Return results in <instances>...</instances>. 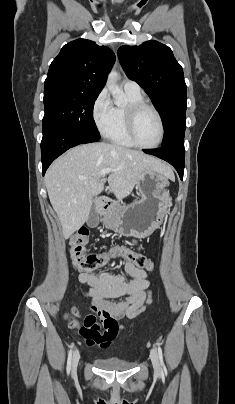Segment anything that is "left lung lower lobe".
I'll return each instance as SVG.
<instances>
[{
	"label": "left lung lower lobe",
	"instance_id": "obj_1",
	"mask_svg": "<svg viewBox=\"0 0 235 404\" xmlns=\"http://www.w3.org/2000/svg\"><path fill=\"white\" fill-rule=\"evenodd\" d=\"M144 152L169 162L177 170L181 180L183 179L185 163V151L183 142H177L167 146H162L159 149L144 150Z\"/></svg>",
	"mask_w": 235,
	"mask_h": 404
}]
</instances>
